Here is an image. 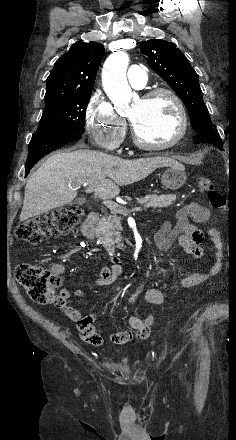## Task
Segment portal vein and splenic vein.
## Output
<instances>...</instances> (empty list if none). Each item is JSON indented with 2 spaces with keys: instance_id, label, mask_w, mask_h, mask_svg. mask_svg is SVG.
Here are the masks:
<instances>
[{
  "instance_id": "portal-vein-and-splenic-vein-1",
  "label": "portal vein and splenic vein",
  "mask_w": 236,
  "mask_h": 440,
  "mask_svg": "<svg viewBox=\"0 0 236 440\" xmlns=\"http://www.w3.org/2000/svg\"><path fill=\"white\" fill-rule=\"evenodd\" d=\"M92 191H93V189H91V188L86 190L87 193H90ZM103 204L112 211H116V212L123 213V214L129 213V211L127 209H124L121 205H119L116 202H113L111 200L105 199L103 201ZM142 210L143 209L141 207H136V208H133L131 211L138 212V211H142Z\"/></svg>"
}]
</instances>
